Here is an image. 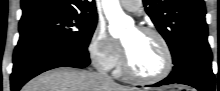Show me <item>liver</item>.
Instances as JSON below:
<instances>
[{
	"label": "liver",
	"mask_w": 220,
	"mask_h": 91,
	"mask_svg": "<svg viewBox=\"0 0 220 91\" xmlns=\"http://www.w3.org/2000/svg\"><path fill=\"white\" fill-rule=\"evenodd\" d=\"M21 91H135L105 81L96 73L70 67L49 70L30 80Z\"/></svg>",
	"instance_id": "6515ba94"
}]
</instances>
